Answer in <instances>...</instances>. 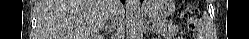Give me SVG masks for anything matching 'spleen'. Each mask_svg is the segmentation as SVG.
<instances>
[{"instance_id": "obj_1", "label": "spleen", "mask_w": 249, "mask_h": 39, "mask_svg": "<svg viewBox=\"0 0 249 39\" xmlns=\"http://www.w3.org/2000/svg\"><path fill=\"white\" fill-rule=\"evenodd\" d=\"M197 30L199 37H207L209 36L210 30V20L206 12L203 13L202 18L197 23Z\"/></svg>"}]
</instances>
